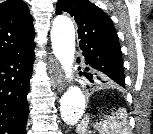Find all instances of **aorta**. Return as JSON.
Returning <instances> with one entry per match:
<instances>
[{"label":"aorta","mask_w":153,"mask_h":134,"mask_svg":"<svg viewBox=\"0 0 153 134\" xmlns=\"http://www.w3.org/2000/svg\"><path fill=\"white\" fill-rule=\"evenodd\" d=\"M53 53L62 65L68 79L72 78L75 53V30L72 21L67 17L54 20L51 30ZM86 99L77 86H71L60 100V114L67 125L75 124L83 115Z\"/></svg>","instance_id":"obj_1"}]
</instances>
